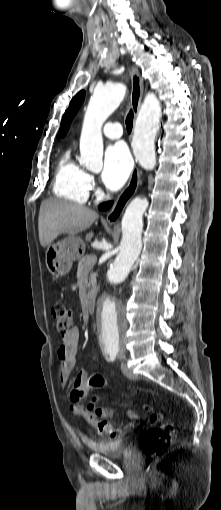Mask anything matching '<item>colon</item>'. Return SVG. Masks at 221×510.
Returning a JSON list of instances; mask_svg holds the SVG:
<instances>
[{
  "instance_id": "colon-1",
  "label": "colon",
  "mask_w": 221,
  "mask_h": 510,
  "mask_svg": "<svg viewBox=\"0 0 221 510\" xmlns=\"http://www.w3.org/2000/svg\"><path fill=\"white\" fill-rule=\"evenodd\" d=\"M51 314L56 323L59 333L65 335L72 329L74 315L73 312L64 305L55 304L51 308ZM106 384L105 378L99 374L94 373L88 379V386L91 389H100ZM84 396V393L82 392ZM93 400H96L94 398ZM113 410L108 408L93 410L85 408L86 420L94 425L98 430H102L106 425V418L112 416ZM161 419L160 414H151L148 418L150 423H156ZM108 422V421H107ZM176 435V428L172 423H165L159 427L152 429L144 443L146 463L145 469L150 471L153 461L170 446Z\"/></svg>"
}]
</instances>
